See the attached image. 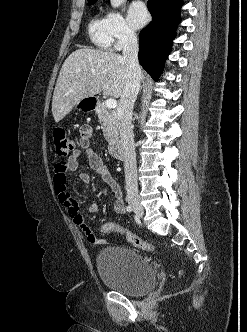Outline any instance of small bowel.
Here are the masks:
<instances>
[{"label":"small bowel","instance_id":"obj_1","mask_svg":"<svg viewBox=\"0 0 247 332\" xmlns=\"http://www.w3.org/2000/svg\"><path fill=\"white\" fill-rule=\"evenodd\" d=\"M91 128L87 125L80 127V148L74 151L65 161H58L54 166V190L60 203L64 206L66 212L73 222L84 232L87 240L92 244H103L104 239L97 237L85 217L78 211L77 201L71 196L67 189V174L76 173L79 167V159L86 156L88 163L101 178L111 188L114 194L113 210L117 214L125 213V203L119 183L110 174L103 159L93 151L90 144ZM79 180L84 184L90 183L91 177L86 172H78ZM98 207L95 203L89 207L91 214L96 213Z\"/></svg>","mask_w":247,"mask_h":332}]
</instances>
